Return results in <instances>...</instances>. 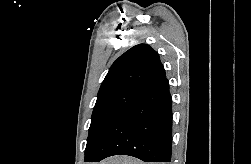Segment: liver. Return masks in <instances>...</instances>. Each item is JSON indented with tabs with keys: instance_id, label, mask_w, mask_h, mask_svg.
I'll list each match as a JSON object with an SVG mask.
<instances>
[{
	"instance_id": "liver-1",
	"label": "liver",
	"mask_w": 251,
	"mask_h": 164,
	"mask_svg": "<svg viewBox=\"0 0 251 164\" xmlns=\"http://www.w3.org/2000/svg\"><path fill=\"white\" fill-rule=\"evenodd\" d=\"M99 164H144L134 158L126 156H115L102 161Z\"/></svg>"
}]
</instances>
